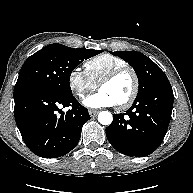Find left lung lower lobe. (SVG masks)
<instances>
[{"instance_id": "1", "label": "left lung lower lobe", "mask_w": 193, "mask_h": 193, "mask_svg": "<svg viewBox=\"0 0 193 193\" xmlns=\"http://www.w3.org/2000/svg\"><path fill=\"white\" fill-rule=\"evenodd\" d=\"M174 95L168 78L136 97L126 113L114 114L106 128L111 145L127 156H147L162 143L173 108Z\"/></svg>"}]
</instances>
